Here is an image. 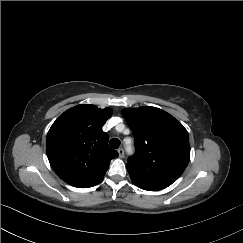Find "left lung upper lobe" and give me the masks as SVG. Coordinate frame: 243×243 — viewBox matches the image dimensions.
Listing matches in <instances>:
<instances>
[{"instance_id": "left-lung-upper-lobe-1", "label": "left lung upper lobe", "mask_w": 243, "mask_h": 243, "mask_svg": "<svg viewBox=\"0 0 243 243\" xmlns=\"http://www.w3.org/2000/svg\"><path fill=\"white\" fill-rule=\"evenodd\" d=\"M121 113L135 139L136 152L126 164L133 183L179 178L190 158L184 126L156 107L126 108Z\"/></svg>"}]
</instances>
